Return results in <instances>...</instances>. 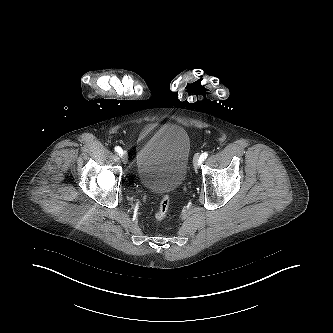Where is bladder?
<instances>
[{"mask_svg":"<svg viewBox=\"0 0 333 333\" xmlns=\"http://www.w3.org/2000/svg\"><path fill=\"white\" fill-rule=\"evenodd\" d=\"M190 154L191 141L181 126L147 128L137 144L136 174L140 184L158 194L175 191L185 181Z\"/></svg>","mask_w":333,"mask_h":333,"instance_id":"obj_1","label":"bladder"}]
</instances>
